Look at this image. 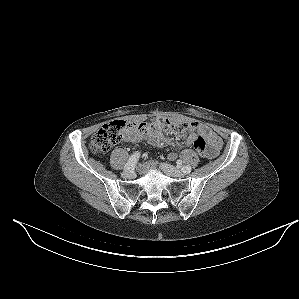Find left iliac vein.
<instances>
[{"label":"left iliac vein","instance_id":"4c4485c4","mask_svg":"<svg viewBox=\"0 0 299 299\" xmlns=\"http://www.w3.org/2000/svg\"><path fill=\"white\" fill-rule=\"evenodd\" d=\"M160 167L164 173L171 177H183L185 175L183 171L167 163H161Z\"/></svg>","mask_w":299,"mask_h":299}]
</instances>
